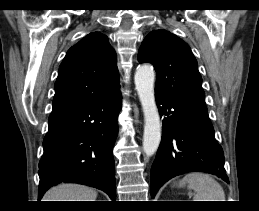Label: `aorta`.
Masks as SVG:
<instances>
[{"label": "aorta", "instance_id": "762f6f07", "mask_svg": "<svg viewBox=\"0 0 259 211\" xmlns=\"http://www.w3.org/2000/svg\"><path fill=\"white\" fill-rule=\"evenodd\" d=\"M134 81L144 114L143 151L147 156H152L159 147L162 132L154 97L155 72L153 67L150 65L138 66Z\"/></svg>", "mask_w": 259, "mask_h": 211}]
</instances>
